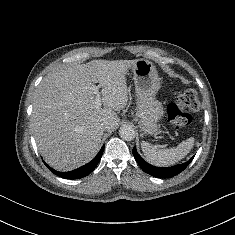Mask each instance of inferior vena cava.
Masks as SVG:
<instances>
[{
    "label": "inferior vena cava",
    "mask_w": 235,
    "mask_h": 235,
    "mask_svg": "<svg viewBox=\"0 0 235 235\" xmlns=\"http://www.w3.org/2000/svg\"><path fill=\"white\" fill-rule=\"evenodd\" d=\"M101 128L106 130L107 129V124H101Z\"/></svg>",
    "instance_id": "602c4592"
}]
</instances>
